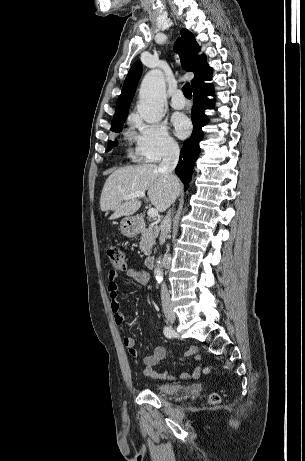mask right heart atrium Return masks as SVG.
<instances>
[{
    "label": "right heart atrium",
    "mask_w": 305,
    "mask_h": 461,
    "mask_svg": "<svg viewBox=\"0 0 305 461\" xmlns=\"http://www.w3.org/2000/svg\"><path fill=\"white\" fill-rule=\"evenodd\" d=\"M131 122L135 153L141 161L158 162L178 151V143L163 123H145L139 117H133Z\"/></svg>",
    "instance_id": "1"
}]
</instances>
